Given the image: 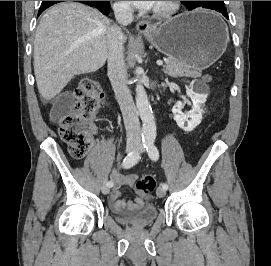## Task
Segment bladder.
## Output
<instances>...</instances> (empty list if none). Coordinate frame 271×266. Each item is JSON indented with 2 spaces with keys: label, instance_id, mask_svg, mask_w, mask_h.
I'll list each match as a JSON object with an SVG mask.
<instances>
[{
  "label": "bladder",
  "instance_id": "bladder-1",
  "mask_svg": "<svg viewBox=\"0 0 271 266\" xmlns=\"http://www.w3.org/2000/svg\"><path fill=\"white\" fill-rule=\"evenodd\" d=\"M157 215L158 211L154 205H146L128 216H117L116 220L130 226L145 227L150 225Z\"/></svg>",
  "mask_w": 271,
  "mask_h": 266
}]
</instances>
